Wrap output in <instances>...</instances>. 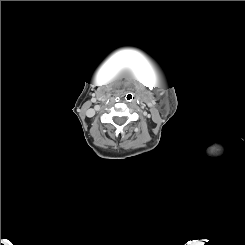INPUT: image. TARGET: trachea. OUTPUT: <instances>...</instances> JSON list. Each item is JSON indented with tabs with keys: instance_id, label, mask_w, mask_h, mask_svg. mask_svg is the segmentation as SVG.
<instances>
[{
	"instance_id": "3493384b",
	"label": "trachea",
	"mask_w": 245,
	"mask_h": 245,
	"mask_svg": "<svg viewBox=\"0 0 245 245\" xmlns=\"http://www.w3.org/2000/svg\"><path fill=\"white\" fill-rule=\"evenodd\" d=\"M132 99H134L133 95L131 93L127 94L126 100L131 101Z\"/></svg>"
}]
</instances>
